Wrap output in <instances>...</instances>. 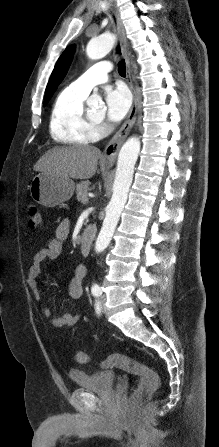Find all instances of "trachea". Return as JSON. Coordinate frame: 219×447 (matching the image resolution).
<instances>
[{"instance_id":"3493384b","label":"trachea","mask_w":219,"mask_h":447,"mask_svg":"<svg viewBox=\"0 0 219 447\" xmlns=\"http://www.w3.org/2000/svg\"><path fill=\"white\" fill-rule=\"evenodd\" d=\"M118 49V51H120L119 49V47L117 48ZM118 72H119V74L121 75V76H125L126 75V66H125V61L124 60H122L120 63H119V65H118Z\"/></svg>"}]
</instances>
